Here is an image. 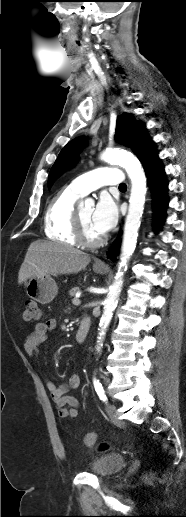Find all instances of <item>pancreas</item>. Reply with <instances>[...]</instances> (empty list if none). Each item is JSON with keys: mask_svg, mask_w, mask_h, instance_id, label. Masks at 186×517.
<instances>
[{"mask_svg": "<svg viewBox=\"0 0 186 517\" xmlns=\"http://www.w3.org/2000/svg\"><path fill=\"white\" fill-rule=\"evenodd\" d=\"M79 291H80V288H79V287H73V288L69 291V295H70L71 297H73V296H75V294H76L77 292H79Z\"/></svg>", "mask_w": 186, "mask_h": 517, "instance_id": "pancreas-1", "label": "pancreas"}]
</instances>
